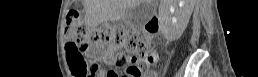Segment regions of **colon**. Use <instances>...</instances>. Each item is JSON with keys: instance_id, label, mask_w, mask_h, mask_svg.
<instances>
[{"instance_id": "1", "label": "colon", "mask_w": 258, "mask_h": 77, "mask_svg": "<svg viewBox=\"0 0 258 77\" xmlns=\"http://www.w3.org/2000/svg\"><path fill=\"white\" fill-rule=\"evenodd\" d=\"M66 36L73 39L67 44L66 51L74 77L93 74L100 64L89 63L87 53L103 48L127 51L128 56L119 62L124 68L125 77L155 75L151 68L155 56L150 52L153 44L150 34L137 33L121 25L109 23L92 27L85 23L77 12L70 11L66 23Z\"/></svg>"}]
</instances>
